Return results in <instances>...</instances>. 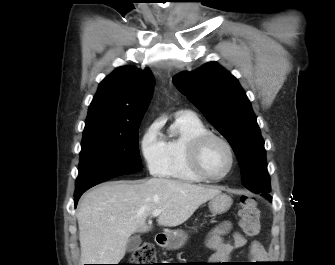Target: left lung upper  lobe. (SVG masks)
Returning <instances> with one entry per match:
<instances>
[{
  "label": "left lung upper lobe",
  "instance_id": "obj_1",
  "mask_svg": "<svg viewBox=\"0 0 335 265\" xmlns=\"http://www.w3.org/2000/svg\"><path fill=\"white\" fill-rule=\"evenodd\" d=\"M172 81L227 139L239 161L243 185L271 199L264 140L237 79L216 62H208Z\"/></svg>",
  "mask_w": 335,
  "mask_h": 265
}]
</instances>
